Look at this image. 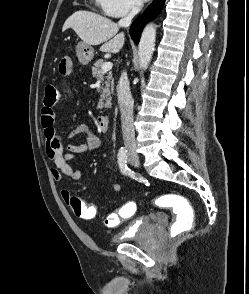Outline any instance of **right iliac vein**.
I'll return each mask as SVG.
<instances>
[{
    "instance_id": "right-iliac-vein-1",
    "label": "right iliac vein",
    "mask_w": 249,
    "mask_h": 294,
    "mask_svg": "<svg viewBox=\"0 0 249 294\" xmlns=\"http://www.w3.org/2000/svg\"><path fill=\"white\" fill-rule=\"evenodd\" d=\"M128 158H129V161L130 163L138 168L140 166V160H139V157L137 155V153L135 152L134 149H128Z\"/></svg>"
}]
</instances>
